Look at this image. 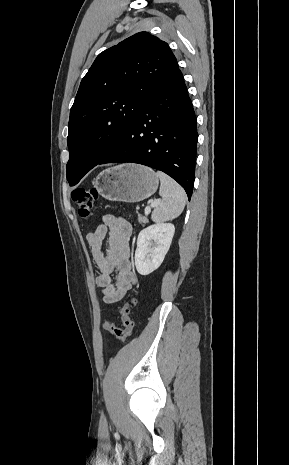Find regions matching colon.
I'll return each mask as SVG.
<instances>
[{
	"label": "colon",
	"instance_id": "colon-1",
	"mask_svg": "<svg viewBox=\"0 0 289 465\" xmlns=\"http://www.w3.org/2000/svg\"><path fill=\"white\" fill-rule=\"evenodd\" d=\"M71 198L76 204L78 213L82 218H89L94 210V203L98 198L97 190L94 188H76L71 193ZM137 299L131 297L126 303H124L120 310V319L122 327H118L110 322H104L102 324L103 330L111 333L117 339L125 341L132 333L134 323L130 317L131 308L135 306Z\"/></svg>",
	"mask_w": 289,
	"mask_h": 465
}]
</instances>
